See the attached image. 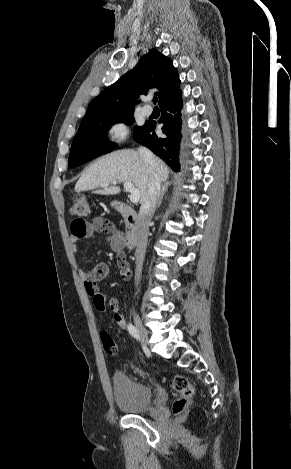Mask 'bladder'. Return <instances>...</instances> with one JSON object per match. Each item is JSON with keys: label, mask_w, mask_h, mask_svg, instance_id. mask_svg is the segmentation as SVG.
<instances>
[{"label": "bladder", "mask_w": 291, "mask_h": 469, "mask_svg": "<svg viewBox=\"0 0 291 469\" xmlns=\"http://www.w3.org/2000/svg\"><path fill=\"white\" fill-rule=\"evenodd\" d=\"M112 382L114 401L121 411L136 414L151 406L153 395L147 385L133 380L122 371L114 373Z\"/></svg>", "instance_id": "bladder-1"}]
</instances>
